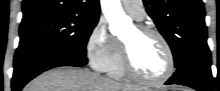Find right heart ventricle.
Returning a JSON list of instances; mask_svg holds the SVG:
<instances>
[{
	"label": "right heart ventricle",
	"instance_id": "obj_1",
	"mask_svg": "<svg viewBox=\"0 0 220 91\" xmlns=\"http://www.w3.org/2000/svg\"><path fill=\"white\" fill-rule=\"evenodd\" d=\"M109 74L117 79H123L126 77L124 67H123V58H122V46L119 43V52L118 55L108 70Z\"/></svg>",
	"mask_w": 220,
	"mask_h": 91
}]
</instances>
